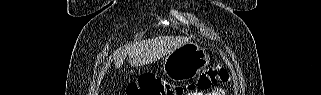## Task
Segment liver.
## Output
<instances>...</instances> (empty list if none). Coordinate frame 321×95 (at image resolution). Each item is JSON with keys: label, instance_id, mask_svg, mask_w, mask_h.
Segmentation results:
<instances>
[{"label": "liver", "instance_id": "obj_1", "mask_svg": "<svg viewBox=\"0 0 321 95\" xmlns=\"http://www.w3.org/2000/svg\"><path fill=\"white\" fill-rule=\"evenodd\" d=\"M189 41L190 39L184 36H159L148 41L136 42L117 52L115 68L122 66L127 55H129V63L132 66L150 64Z\"/></svg>", "mask_w": 321, "mask_h": 95}]
</instances>
